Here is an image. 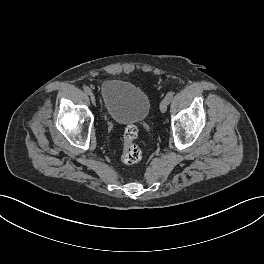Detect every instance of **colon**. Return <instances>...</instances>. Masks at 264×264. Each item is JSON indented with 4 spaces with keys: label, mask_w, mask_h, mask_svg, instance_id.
<instances>
[{
    "label": "colon",
    "mask_w": 264,
    "mask_h": 264,
    "mask_svg": "<svg viewBox=\"0 0 264 264\" xmlns=\"http://www.w3.org/2000/svg\"><path fill=\"white\" fill-rule=\"evenodd\" d=\"M137 135L138 130L134 125L126 127L123 136V148L121 153V160L125 165L133 166L142 160L143 152L134 142Z\"/></svg>",
    "instance_id": "colon-1"
}]
</instances>
